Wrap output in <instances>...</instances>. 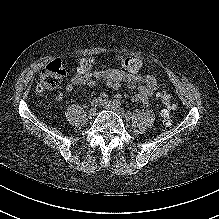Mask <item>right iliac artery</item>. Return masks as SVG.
Wrapping results in <instances>:
<instances>
[{"mask_svg": "<svg viewBox=\"0 0 219 219\" xmlns=\"http://www.w3.org/2000/svg\"><path fill=\"white\" fill-rule=\"evenodd\" d=\"M102 102V98L99 97V98H94L91 102V106L94 108V107H97L98 105H100V103Z\"/></svg>", "mask_w": 219, "mask_h": 219, "instance_id": "82829eb1", "label": "right iliac artery"}]
</instances>
